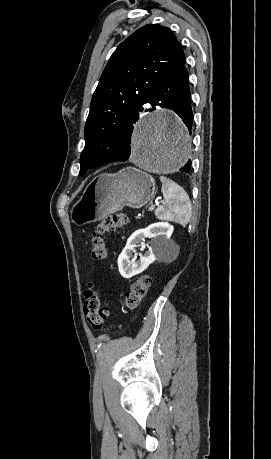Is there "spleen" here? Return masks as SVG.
<instances>
[{"mask_svg": "<svg viewBox=\"0 0 271 459\" xmlns=\"http://www.w3.org/2000/svg\"><path fill=\"white\" fill-rule=\"evenodd\" d=\"M160 182H162L161 192L165 202L164 206H159L155 210L157 218L171 220V222H178L181 226H186L192 212L187 204L189 198L186 192L178 184L165 178V176H160Z\"/></svg>", "mask_w": 271, "mask_h": 459, "instance_id": "1", "label": "spleen"}]
</instances>
